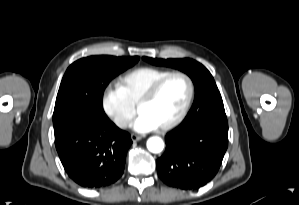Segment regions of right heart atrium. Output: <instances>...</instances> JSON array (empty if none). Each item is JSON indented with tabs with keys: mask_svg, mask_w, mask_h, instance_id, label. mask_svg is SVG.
Here are the masks:
<instances>
[{
	"mask_svg": "<svg viewBox=\"0 0 299 205\" xmlns=\"http://www.w3.org/2000/svg\"><path fill=\"white\" fill-rule=\"evenodd\" d=\"M101 106L106 116L121 129L126 128L135 115L134 105L117 85L105 87L101 95Z\"/></svg>",
	"mask_w": 299,
	"mask_h": 205,
	"instance_id": "d8ad5b80",
	"label": "right heart atrium"
}]
</instances>
